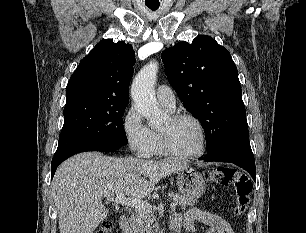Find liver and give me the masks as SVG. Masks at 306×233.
I'll use <instances>...</instances> for the list:
<instances>
[{"label":"liver","instance_id":"obj_1","mask_svg":"<svg viewBox=\"0 0 306 233\" xmlns=\"http://www.w3.org/2000/svg\"><path fill=\"white\" fill-rule=\"evenodd\" d=\"M186 168L181 161L113 158L97 152L69 158L52 181L60 233H93L108 214L102 197L125 193L145 198L162 178Z\"/></svg>","mask_w":306,"mask_h":233}]
</instances>
